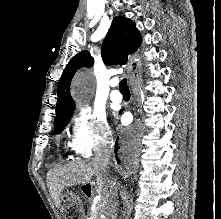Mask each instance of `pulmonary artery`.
Listing matches in <instances>:
<instances>
[{
    "mask_svg": "<svg viewBox=\"0 0 221 219\" xmlns=\"http://www.w3.org/2000/svg\"><path fill=\"white\" fill-rule=\"evenodd\" d=\"M110 85L113 88V90L110 93L111 101L114 103H121L123 100L122 94L118 90H116V88L118 86V81L113 80V81H111Z\"/></svg>",
    "mask_w": 221,
    "mask_h": 219,
    "instance_id": "e3ab8cb5",
    "label": "pulmonary artery"
}]
</instances>
